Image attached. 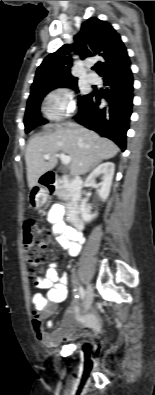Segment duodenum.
I'll return each instance as SVG.
<instances>
[{
	"instance_id": "1",
	"label": "duodenum",
	"mask_w": 155,
	"mask_h": 395,
	"mask_svg": "<svg viewBox=\"0 0 155 395\" xmlns=\"http://www.w3.org/2000/svg\"><path fill=\"white\" fill-rule=\"evenodd\" d=\"M42 185L49 192L54 193L59 190H66L68 193V220L71 225L81 230L83 221L80 215V199L83 182L79 178H69L50 172L42 177Z\"/></svg>"
}]
</instances>
